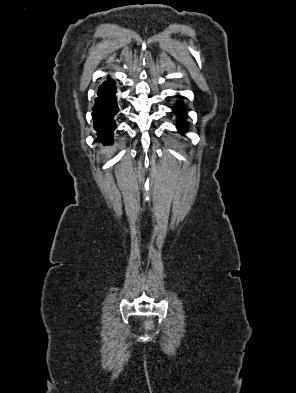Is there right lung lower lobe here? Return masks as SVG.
<instances>
[{
	"mask_svg": "<svg viewBox=\"0 0 296 393\" xmlns=\"http://www.w3.org/2000/svg\"><path fill=\"white\" fill-rule=\"evenodd\" d=\"M110 81L108 78L99 87L92 112L94 129L98 132L97 139L104 145L112 143L113 131L116 128L113 117L119 111L115 97L116 88Z\"/></svg>",
	"mask_w": 296,
	"mask_h": 393,
	"instance_id": "right-lung-lower-lobe-1",
	"label": "right lung lower lobe"
}]
</instances>
